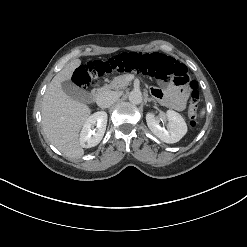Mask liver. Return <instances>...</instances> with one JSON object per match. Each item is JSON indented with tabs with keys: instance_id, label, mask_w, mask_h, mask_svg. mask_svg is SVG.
I'll list each match as a JSON object with an SVG mask.
<instances>
[{
	"instance_id": "1",
	"label": "liver",
	"mask_w": 247,
	"mask_h": 247,
	"mask_svg": "<svg viewBox=\"0 0 247 247\" xmlns=\"http://www.w3.org/2000/svg\"><path fill=\"white\" fill-rule=\"evenodd\" d=\"M80 64V59L71 61L52 79L43 97L41 110L43 130L48 140L70 158H80L84 155L79 142V132L91 109L67 96L61 83L70 80Z\"/></svg>"
}]
</instances>
